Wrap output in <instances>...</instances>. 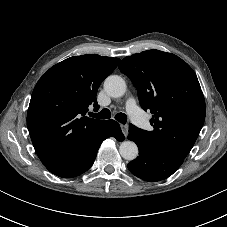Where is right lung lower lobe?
Masks as SVG:
<instances>
[{"label":"right lung lower lobe","mask_w":227,"mask_h":227,"mask_svg":"<svg viewBox=\"0 0 227 227\" xmlns=\"http://www.w3.org/2000/svg\"><path fill=\"white\" fill-rule=\"evenodd\" d=\"M119 133H122L119 124L114 120H109L107 125L88 145V147H86L68 165L53 174L62 178H72L84 173L93 165L97 155V151L101 146L102 142L108 137H115V135Z\"/></svg>","instance_id":"obj_1"}]
</instances>
